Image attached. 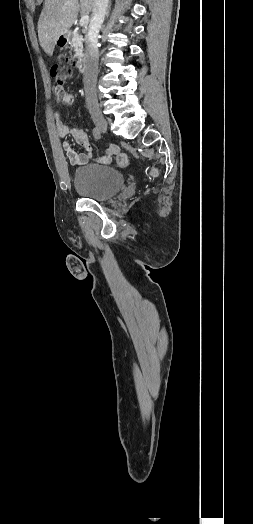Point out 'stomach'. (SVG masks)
<instances>
[{
  "mask_svg": "<svg viewBox=\"0 0 253 524\" xmlns=\"http://www.w3.org/2000/svg\"><path fill=\"white\" fill-rule=\"evenodd\" d=\"M69 42V35L68 34H64V35H61L57 41H56V44L60 47H65L67 46Z\"/></svg>",
  "mask_w": 253,
  "mask_h": 524,
  "instance_id": "obj_1",
  "label": "stomach"
}]
</instances>
